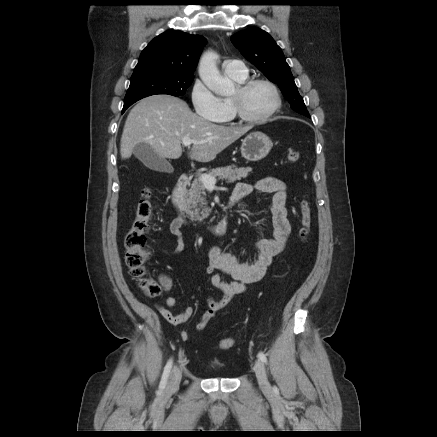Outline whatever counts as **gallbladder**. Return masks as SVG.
Wrapping results in <instances>:
<instances>
[{"label": "gallbladder", "mask_w": 437, "mask_h": 437, "mask_svg": "<svg viewBox=\"0 0 437 437\" xmlns=\"http://www.w3.org/2000/svg\"><path fill=\"white\" fill-rule=\"evenodd\" d=\"M133 154L151 170L165 172L169 168V163L147 143L137 144L133 149Z\"/></svg>", "instance_id": "gallbladder-1"}]
</instances>
